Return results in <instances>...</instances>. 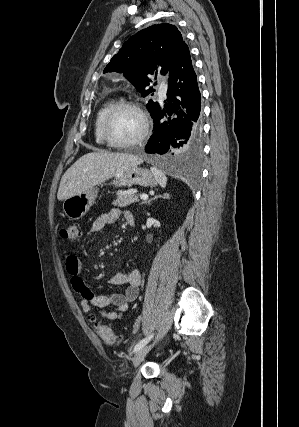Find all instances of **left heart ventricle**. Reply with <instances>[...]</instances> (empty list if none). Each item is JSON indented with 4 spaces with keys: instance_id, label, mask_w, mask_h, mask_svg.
<instances>
[{
    "instance_id": "1",
    "label": "left heart ventricle",
    "mask_w": 299,
    "mask_h": 427,
    "mask_svg": "<svg viewBox=\"0 0 299 427\" xmlns=\"http://www.w3.org/2000/svg\"><path fill=\"white\" fill-rule=\"evenodd\" d=\"M142 130V120L132 109H121L112 118L110 132L119 142H127L136 138Z\"/></svg>"
}]
</instances>
